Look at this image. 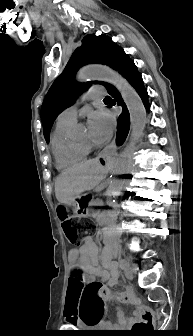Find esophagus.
I'll return each mask as SVG.
<instances>
[{"label": "esophagus", "instance_id": "obj_1", "mask_svg": "<svg viewBox=\"0 0 193 336\" xmlns=\"http://www.w3.org/2000/svg\"><path fill=\"white\" fill-rule=\"evenodd\" d=\"M117 153V145L115 139L108 144L99 154L98 161L101 162L105 158L115 155Z\"/></svg>", "mask_w": 193, "mask_h": 336}]
</instances>
